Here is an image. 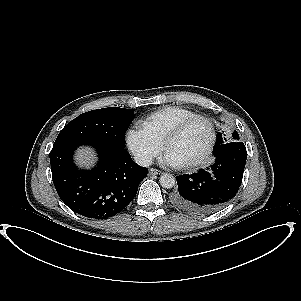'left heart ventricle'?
<instances>
[{
    "instance_id": "obj_1",
    "label": "left heart ventricle",
    "mask_w": 301,
    "mask_h": 301,
    "mask_svg": "<svg viewBox=\"0 0 301 301\" xmlns=\"http://www.w3.org/2000/svg\"><path fill=\"white\" fill-rule=\"evenodd\" d=\"M210 138L209 127L205 122L196 121L183 133L170 141L167 151L184 160L185 163L197 159L206 150Z\"/></svg>"
}]
</instances>
